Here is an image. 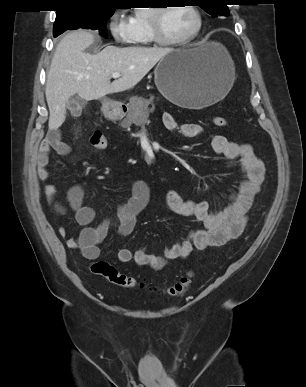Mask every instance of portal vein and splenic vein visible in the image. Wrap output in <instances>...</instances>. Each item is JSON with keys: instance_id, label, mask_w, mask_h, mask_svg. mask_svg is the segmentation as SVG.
<instances>
[{"instance_id": "obj_1", "label": "portal vein and splenic vein", "mask_w": 306, "mask_h": 387, "mask_svg": "<svg viewBox=\"0 0 306 387\" xmlns=\"http://www.w3.org/2000/svg\"><path fill=\"white\" fill-rule=\"evenodd\" d=\"M111 76H112L113 78L117 79V78H119V77L121 76V74L118 73V72H115V73H112Z\"/></svg>"}]
</instances>
